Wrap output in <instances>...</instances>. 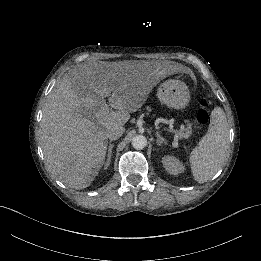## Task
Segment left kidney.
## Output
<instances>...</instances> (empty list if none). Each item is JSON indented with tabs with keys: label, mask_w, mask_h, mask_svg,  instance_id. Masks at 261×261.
Returning a JSON list of instances; mask_svg holds the SVG:
<instances>
[{
	"label": "left kidney",
	"mask_w": 261,
	"mask_h": 261,
	"mask_svg": "<svg viewBox=\"0 0 261 261\" xmlns=\"http://www.w3.org/2000/svg\"><path fill=\"white\" fill-rule=\"evenodd\" d=\"M162 163L164 168L170 174L175 175L183 171L182 164L171 156L164 157Z\"/></svg>",
	"instance_id": "1"
}]
</instances>
